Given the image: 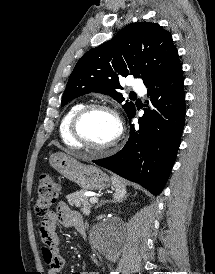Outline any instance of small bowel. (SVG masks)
Listing matches in <instances>:
<instances>
[{
	"mask_svg": "<svg viewBox=\"0 0 215 274\" xmlns=\"http://www.w3.org/2000/svg\"><path fill=\"white\" fill-rule=\"evenodd\" d=\"M74 228L77 231L85 230V223L82 216L69 208L65 202L58 205L56 212H51L43 219L40 225V238L43 244L42 254L44 261L49 267L48 274H58L65 265L64 257L59 252V239L56 232L57 224ZM79 274H99L94 271H85Z\"/></svg>",
	"mask_w": 215,
	"mask_h": 274,
	"instance_id": "obj_1",
	"label": "small bowel"
}]
</instances>
